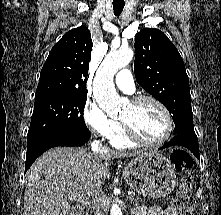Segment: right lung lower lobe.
Returning a JSON list of instances; mask_svg holds the SVG:
<instances>
[{
    "label": "right lung lower lobe",
    "instance_id": "98d812e1",
    "mask_svg": "<svg viewBox=\"0 0 221 215\" xmlns=\"http://www.w3.org/2000/svg\"><path fill=\"white\" fill-rule=\"evenodd\" d=\"M89 131L73 136L50 135L27 142L26 170L42 153L56 146H81L90 139Z\"/></svg>",
    "mask_w": 221,
    "mask_h": 215
}]
</instances>
